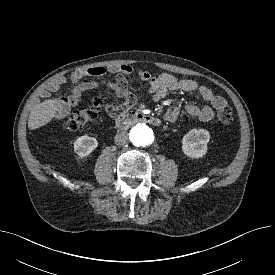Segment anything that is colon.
I'll return each mask as SVG.
<instances>
[{
    "mask_svg": "<svg viewBox=\"0 0 275 275\" xmlns=\"http://www.w3.org/2000/svg\"><path fill=\"white\" fill-rule=\"evenodd\" d=\"M100 108L101 101L95 99L87 108L73 111L65 121V128L69 131L83 128L97 118ZM217 117L221 123L230 124L233 121V112L230 107L225 106L219 109Z\"/></svg>",
    "mask_w": 275,
    "mask_h": 275,
    "instance_id": "obj_1",
    "label": "colon"
}]
</instances>
